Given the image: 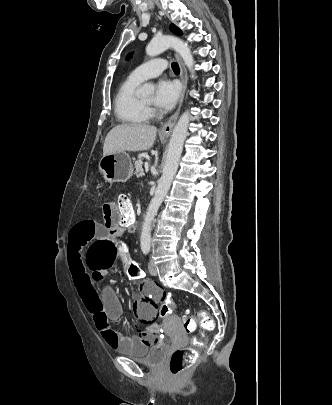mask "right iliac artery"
Returning <instances> with one entry per match:
<instances>
[{
  "mask_svg": "<svg viewBox=\"0 0 332 405\" xmlns=\"http://www.w3.org/2000/svg\"><path fill=\"white\" fill-rule=\"evenodd\" d=\"M142 250H143V253H144L145 255L148 254V252H149V248H143Z\"/></svg>",
  "mask_w": 332,
  "mask_h": 405,
  "instance_id": "obj_1",
  "label": "right iliac artery"
}]
</instances>
